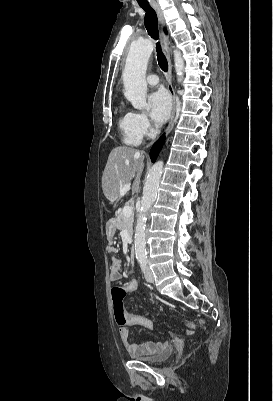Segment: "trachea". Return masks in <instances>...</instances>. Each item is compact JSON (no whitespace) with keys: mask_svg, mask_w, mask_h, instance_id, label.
<instances>
[{"mask_svg":"<svg viewBox=\"0 0 273 401\" xmlns=\"http://www.w3.org/2000/svg\"><path fill=\"white\" fill-rule=\"evenodd\" d=\"M140 6L141 8H143V10H145V27L147 29V32L150 35V37L157 40L159 33H158V18L156 12L150 5H140ZM156 51H157V60L160 68L164 72H167L168 71L167 58L162 52L159 42H157L156 44Z\"/></svg>","mask_w":273,"mask_h":401,"instance_id":"1","label":"trachea"}]
</instances>
